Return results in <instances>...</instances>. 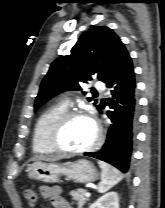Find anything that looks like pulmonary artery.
<instances>
[{"instance_id": "1", "label": "pulmonary artery", "mask_w": 165, "mask_h": 208, "mask_svg": "<svg viewBox=\"0 0 165 208\" xmlns=\"http://www.w3.org/2000/svg\"><path fill=\"white\" fill-rule=\"evenodd\" d=\"M95 88H96L97 90H99V91H103V90L105 89L104 84H103L102 82H97V83L95 84ZM69 104H70V103L67 102V105H69Z\"/></svg>"}]
</instances>
